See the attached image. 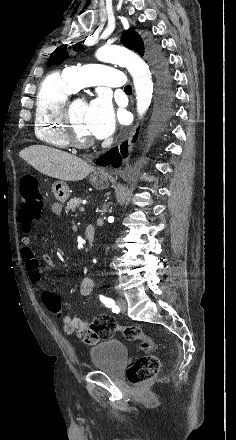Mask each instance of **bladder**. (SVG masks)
Masks as SVG:
<instances>
[{
  "instance_id": "31cf9c89",
  "label": "bladder",
  "mask_w": 236,
  "mask_h": 440,
  "mask_svg": "<svg viewBox=\"0 0 236 440\" xmlns=\"http://www.w3.org/2000/svg\"><path fill=\"white\" fill-rule=\"evenodd\" d=\"M89 354L92 368L109 375L120 374L128 362L126 346L116 339L94 345Z\"/></svg>"
}]
</instances>
